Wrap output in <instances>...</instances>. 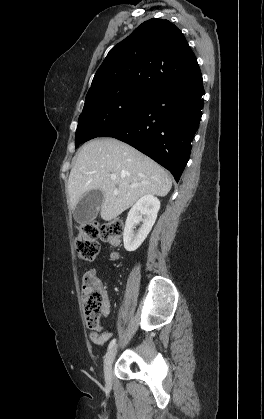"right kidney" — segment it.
I'll return each mask as SVG.
<instances>
[{
  "instance_id": "obj_1",
  "label": "right kidney",
  "mask_w": 264,
  "mask_h": 419,
  "mask_svg": "<svg viewBox=\"0 0 264 419\" xmlns=\"http://www.w3.org/2000/svg\"><path fill=\"white\" fill-rule=\"evenodd\" d=\"M160 209V201L153 195L141 197L130 209L123 232L124 247L127 251H135L146 239L152 229ZM142 222L138 233H134L135 226Z\"/></svg>"
}]
</instances>
